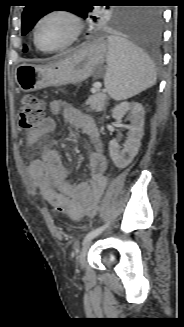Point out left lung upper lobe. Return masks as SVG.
<instances>
[{
  "mask_svg": "<svg viewBox=\"0 0 184 327\" xmlns=\"http://www.w3.org/2000/svg\"><path fill=\"white\" fill-rule=\"evenodd\" d=\"M57 0H31L22 14V35L27 34L35 23L45 14L54 10H67L74 14L90 20L96 27L104 25L132 26L140 17L141 9H110L106 6V11L99 13L95 6H91L88 0H75L72 5L58 4ZM23 51H27L26 45Z\"/></svg>",
  "mask_w": 184,
  "mask_h": 327,
  "instance_id": "1",
  "label": "left lung upper lobe"
}]
</instances>
